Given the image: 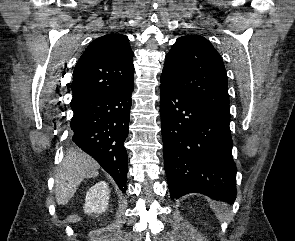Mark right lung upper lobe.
<instances>
[{"instance_id":"obj_1","label":"right lung upper lobe","mask_w":295,"mask_h":241,"mask_svg":"<svg viewBox=\"0 0 295 241\" xmlns=\"http://www.w3.org/2000/svg\"><path fill=\"white\" fill-rule=\"evenodd\" d=\"M133 56L123 34H107L90 43L74 69L71 105L133 84Z\"/></svg>"}]
</instances>
